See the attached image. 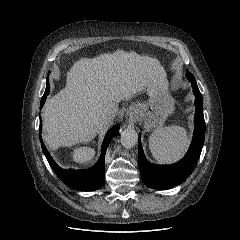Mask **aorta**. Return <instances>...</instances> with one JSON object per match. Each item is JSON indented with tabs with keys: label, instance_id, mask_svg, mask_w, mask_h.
<instances>
[{
	"label": "aorta",
	"instance_id": "762f6f07",
	"mask_svg": "<svg viewBox=\"0 0 240 240\" xmlns=\"http://www.w3.org/2000/svg\"><path fill=\"white\" fill-rule=\"evenodd\" d=\"M120 140L122 146H124L125 148H131L136 144L138 140V133L131 128L125 129L121 133Z\"/></svg>",
	"mask_w": 240,
	"mask_h": 240
}]
</instances>
